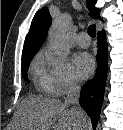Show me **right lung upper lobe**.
Wrapping results in <instances>:
<instances>
[{"label":"right lung upper lobe","instance_id":"cb5924a9","mask_svg":"<svg viewBox=\"0 0 123 130\" xmlns=\"http://www.w3.org/2000/svg\"><path fill=\"white\" fill-rule=\"evenodd\" d=\"M96 0H87L89 11L94 18L100 19V10L95 7ZM51 16L48 8L39 10L31 23L30 31L26 36L22 56L36 54L46 39Z\"/></svg>","mask_w":123,"mask_h":130}]
</instances>
